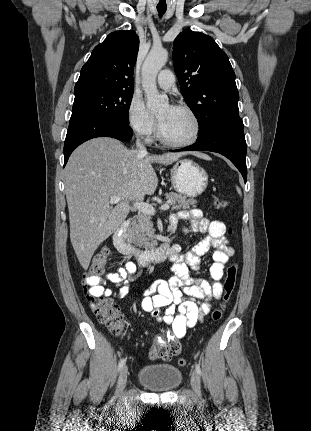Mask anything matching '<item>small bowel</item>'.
Instances as JSON below:
<instances>
[{
  "mask_svg": "<svg viewBox=\"0 0 311 431\" xmlns=\"http://www.w3.org/2000/svg\"><path fill=\"white\" fill-rule=\"evenodd\" d=\"M180 221L189 223L182 227L183 233H202L205 237L186 253H182L179 246H173L170 259L174 275L167 281L152 283L143 292L141 300L143 311L157 322L167 325L166 338L173 340L182 338L188 328L195 326L209 313L211 301L221 298L224 268L234 254V249L225 237L226 226L223 222L205 218L199 209L181 210L170 217L171 232L177 230ZM210 249H214L210 268L213 283L190 275V270L198 269L201 257ZM137 270V266L128 261L124 267L105 275V280L118 288L116 293L99 285L100 280L96 281L92 291L97 296L123 297L128 293V279ZM159 339L161 337L157 336L156 340Z\"/></svg>",
  "mask_w": 311,
  "mask_h": 431,
  "instance_id": "1",
  "label": "small bowel"
}]
</instances>
